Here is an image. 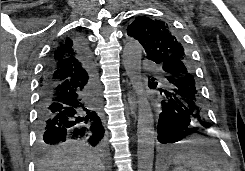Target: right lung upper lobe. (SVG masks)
Wrapping results in <instances>:
<instances>
[{
	"label": "right lung upper lobe",
	"instance_id": "right-lung-upper-lobe-1",
	"mask_svg": "<svg viewBox=\"0 0 245 171\" xmlns=\"http://www.w3.org/2000/svg\"><path fill=\"white\" fill-rule=\"evenodd\" d=\"M77 38H66L59 42L50 58L54 63L51 81H62L77 76H85L87 68L80 59L77 48Z\"/></svg>",
	"mask_w": 245,
	"mask_h": 171
}]
</instances>
